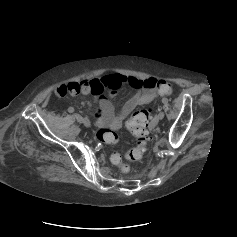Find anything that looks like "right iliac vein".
Here are the masks:
<instances>
[{
  "mask_svg": "<svg viewBox=\"0 0 237 237\" xmlns=\"http://www.w3.org/2000/svg\"><path fill=\"white\" fill-rule=\"evenodd\" d=\"M83 124L86 126V127H90L91 126V122L88 118H84L83 119Z\"/></svg>",
  "mask_w": 237,
  "mask_h": 237,
  "instance_id": "right-iliac-vein-1",
  "label": "right iliac vein"
}]
</instances>
